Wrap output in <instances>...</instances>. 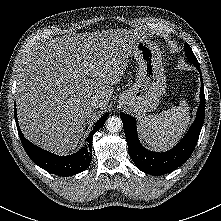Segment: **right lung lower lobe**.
Returning a JSON list of instances; mask_svg holds the SVG:
<instances>
[{
	"instance_id": "98d812e1",
	"label": "right lung lower lobe",
	"mask_w": 221,
	"mask_h": 221,
	"mask_svg": "<svg viewBox=\"0 0 221 221\" xmlns=\"http://www.w3.org/2000/svg\"><path fill=\"white\" fill-rule=\"evenodd\" d=\"M14 114L22 145L30 159L39 167L59 176H72L89 167L92 157L91 145L93 135L103 127L108 116V114H105L97 121L87 138L86 144L78 152L69 156H58L28 141L19 128L16 108L14 109Z\"/></svg>"
}]
</instances>
